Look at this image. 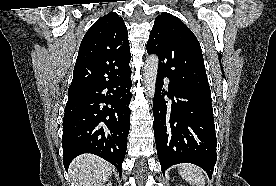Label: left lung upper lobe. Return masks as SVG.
<instances>
[{
  "label": "left lung upper lobe",
  "mask_w": 276,
  "mask_h": 186,
  "mask_svg": "<svg viewBox=\"0 0 276 186\" xmlns=\"http://www.w3.org/2000/svg\"><path fill=\"white\" fill-rule=\"evenodd\" d=\"M148 54L159 56V70L170 82L197 92H211L200 44L177 17L163 12L155 19Z\"/></svg>",
  "instance_id": "left-lung-upper-lobe-1"
}]
</instances>
